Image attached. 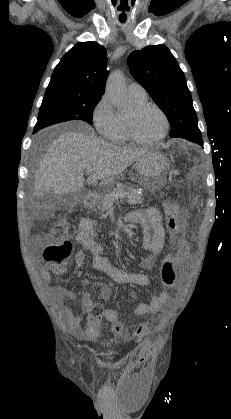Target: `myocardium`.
I'll use <instances>...</instances> for the list:
<instances>
[{"mask_svg":"<svg viewBox=\"0 0 231 419\" xmlns=\"http://www.w3.org/2000/svg\"><path fill=\"white\" fill-rule=\"evenodd\" d=\"M147 109H154L156 110L163 118L164 120V130L163 132L156 138L154 139H143L142 137H140L138 135V133L136 132L135 129V117L142 113L143 111L147 110ZM127 128H128V134L130 139H132L134 142L141 144V145H154L159 143L160 141H162L168 134L169 130H170V121L169 118L167 116V114L165 113V111L160 108L158 105L154 104V103H148L145 102L143 104L137 105L135 106L132 111L130 112V114L127 117Z\"/></svg>","mask_w":231,"mask_h":419,"instance_id":"obj_1","label":"myocardium"}]
</instances>
